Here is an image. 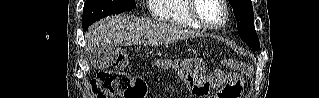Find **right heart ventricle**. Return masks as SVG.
I'll return each instance as SVG.
<instances>
[{
    "label": "right heart ventricle",
    "instance_id": "e07e8e85",
    "mask_svg": "<svg viewBox=\"0 0 319 98\" xmlns=\"http://www.w3.org/2000/svg\"><path fill=\"white\" fill-rule=\"evenodd\" d=\"M152 15L163 22L202 29L189 13V0H151Z\"/></svg>",
    "mask_w": 319,
    "mask_h": 98
}]
</instances>
